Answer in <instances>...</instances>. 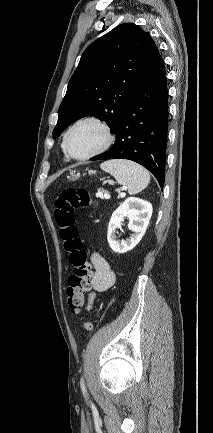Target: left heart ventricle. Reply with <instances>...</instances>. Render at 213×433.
I'll return each mask as SVG.
<instances>
[{"label":"left heart ventricle","mask_w":213,"mask_h":433,"mask_svg":"<svg viewBox=\"0 0 213 433\" xmlns=\"http://www.w3.org/2000/svg\"><path fill=\"white\" fill-rule=\"evenodd\" d=\"M103 141V131L95 124L85 123L70 134L69 148L73 155L84 156L99 148Z\"/></svg>","instance_id":"1"}]
</instances>
